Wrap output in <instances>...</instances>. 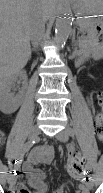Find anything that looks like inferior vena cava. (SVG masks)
Returning a JSON list of instances; mask_svg holds the SVG:
<instances>
[{"label": "inferior vena cava", "mask_w": 103, "mask_h": 193, "mask_svg": "<svg viewBox=\"0 0 103 193\" xmlns=\"http://www.w3.org/2000/svg\"><path fill=\"white\" fill-rule=\"evenodd\" d=\"M29 33L33 46L37 47L44 34V21L39 14L32 15Z\"/></svg>", "instance_id": "602c4592"}]
</instances>
